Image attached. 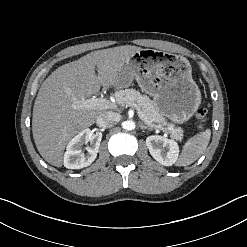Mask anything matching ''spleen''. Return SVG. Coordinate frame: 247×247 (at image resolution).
<instances>
[{
	"label": "spleen",
	"mask_w": 247,
	"mask_h": 247,
	"mask_svg": "<svg viewBox=\"0 0 247 247\" xmlns=\"http://www.w3.org/2000/svg\"><path fill=\"white\" fill-rule=\"evenodd\" d=\"M210 137V129H206L191 137L183 146L182 152L177 161V166H187L195 162L206 150Z\"/></svg>",
	"instance_id": "3e777b00"
}]
</instances>
